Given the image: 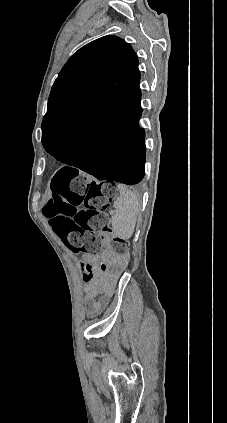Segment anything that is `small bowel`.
<instances>
[{"mask_svg":"<svg viewBox=\"0 0 227 423\" xmlns=\"http://www.w3.org/2000/svg\"><path fill=\"white\" fill-rule=\"evenodd\" d=\"M86 264L90 266L93 272V266L90 263ZM123 266V259H118L111 254H105L103 256L98 268L100 272L98 277L94 280L93 285L86 289L85 303L89 315L97 314L106 305V299L96 298V296L113 281V278L121 271Z\"/></svg>","mask_w":227,"mask_h":423,"instance_id":"c3829d8e","label":"small bowel"}]
</instances>
